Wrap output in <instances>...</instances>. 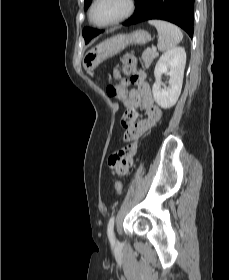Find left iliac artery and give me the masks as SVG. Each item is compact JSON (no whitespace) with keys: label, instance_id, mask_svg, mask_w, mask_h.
I'll return each mask as SVG.
<instances>
[{"label":"left iliac artery","instance_id":"44dca946","mask_svg":"<svg viewBox=\"0 0 229 280\" xmlns=\"http://www.w3.org/2000/svg\"><path fill=\"white\" fill-rule=\"evenodd\" d=\"M114 219H115V217L112 216V217L109 219L108 226H107L108 238H109V240H110L111 243H114V242H115V240H114V233H113Z\"/></svg>","mask_w":229,"mask_h":280}]
</instances>
